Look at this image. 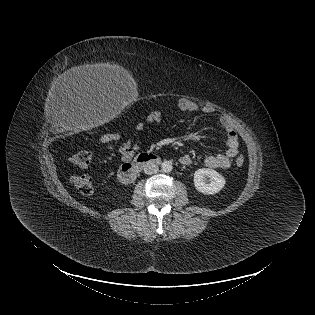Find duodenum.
Returning a JSON list of instances; mask_svg holds the SVG:
<instances>
[{
  "label": "duodenum",
  "mask_w": 315,
  "mask_h": 315,
  "mask_svg": "<svg viewBox=\"0 0 315 315\" xmlns=\"http://www.w3.org/2000/svg\"><path fill=\"white\" fill-rule=\"evenodd\" d=\"M160 158L154 153H141L134 160L125 162L118 171V179L122 184H131L138 172L147 164H158Z\"/></svg>",
  "instance_id": "duodenum-1"
}]
</instances>
